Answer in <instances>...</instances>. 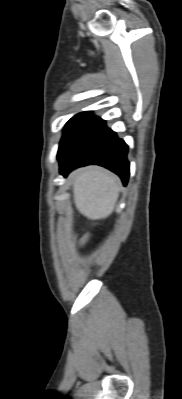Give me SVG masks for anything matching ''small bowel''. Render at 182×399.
<instances>
[{
	"mask_svg": "<svg viewBox=\"0 0 182 399\" xmlns=\"http://www.w3.org/2000/svg\"><path fill=\"white\" fill-rule=\"evenodd\" d=\"M88 240H89V235H84V236H82L80 239H79V241H78V245L79 246H84L87 242H88Z\"/></svg>",
	"mask_w": 182,
	"mask_h": 399,
	"instance_id": "1",
	"label": "small bowel"
}]
</instances>
